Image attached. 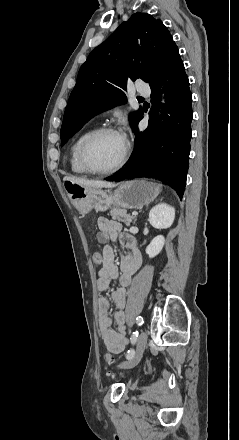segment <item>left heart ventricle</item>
<instances>
[{"label": "left heart ventricle", "instance_id": "obj_1", "mask_svg": "<svg viewBox=\"0 0 239 440\" xmlns=\"http://www.w3.org/2000/svg\"><path fill=\"white\" fill-rule=\"evenodd\" d=\"M125 145L126 140L120 133L104 134L90 145L88 160L99 170L114 168L124 153Z\"/></svg>", "mask_w": 239, "mask_h": 440}]
</instances>
